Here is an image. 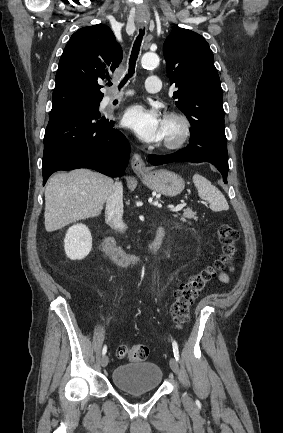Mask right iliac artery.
<instances>
[{
    "label": "right iliac artery",
    "mask_w": 283,
    "mask_h": 433,
    "mask_svg": "<svg viewBox=\"0 0 283 433\" xmlns=\"http://www.w3.org/2000/svg\"><path fill=\"white\" fill-rule=\"evenodd\" d=\"M106 352H107V346L105 345V346L103 347V350H102V355H105Z\"/></svg>",
    "instance_id": "obj_1"
}]
</instances>
